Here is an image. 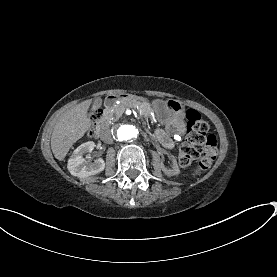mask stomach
<instances>
[{"label":"stomach","mask_w":277,"mask_h":277,"mask_svg":"<svg viewBox=\"0 0 277 277\" xmlns=\"http://www.w3.org/2000/svg\"><path fill=\"white\" fill-rule=\"evenodd\" d=\"M152 105L157 118L165 124L167 129L175 132L184 129L185 108L179 100H155Z\"/></svg>","instance_id":"1"}]
</instances>
